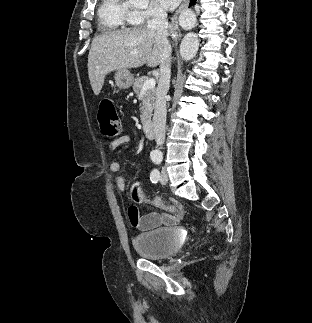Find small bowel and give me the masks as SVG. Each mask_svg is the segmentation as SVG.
<instances>
[{"instance_id": "c3829d8e", "label": "small bowel", "mask_w": 312, "mask_h": 323, "mask_svg": "<svg viewBox=\"0 0 312 323\" xmlns=\"http://www.w3.org/2000/svg\"><path fill=\"white\" fill-rule=\"evenodd\" d=\"M131 141L130 136L122 135L114 139L110 143L111 150H116L121 146L129 144ZM109 169L113 173H117L120 170V164L117 161H113L109 165ZM116 185L121 192H126L127 186L126 181L122 176L116 177ZM131 211H134V214H131ZM128 218L131 225L140 231H148L160 226H173L176 225L179 220L182 218L181 211H178L175 214L171 213H157L151 212L145 215H140L138 210L130 208L128 209Z\"/></svg>"}]
</instances>
